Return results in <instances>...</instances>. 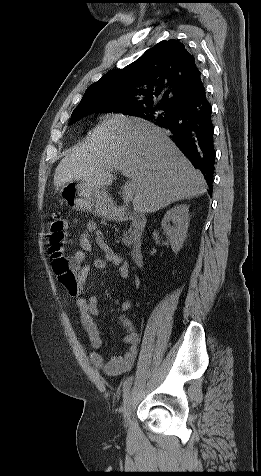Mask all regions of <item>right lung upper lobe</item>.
Masks as SVG:
<instances>
[{"label":"right lung upper lobe","instance_id":"right-lung-upper-lobe-1","mask_svg":"<svg viewBox=\"0 0 261 476\" xmlns=\"http://www.w3.org/2000/svg\"><path fill=\"white\" fill-rule=\"evenodd\" d=\"M204 89L195 58L184 44L163 40L123 69H113L90 85L77 107L90 104L120 105L128 109L152 105L175 108ZM76 107V108H77Z\"/></svg>","mask_w":261,"mask_h":476}]
</instances>
